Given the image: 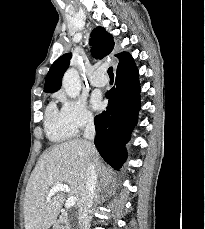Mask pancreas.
Instances as JSON below:
<instances>
[{
    "label": "pancreas",
    "instance_id": "obj_1",
    "mask_svg": "<svg viewBox=\"0 0 205 229\" xmlns=\"http://www.w3.org/2000/svg\"><path fill=\"white\" fill-rule=\"evenodd\" d=\"M54 229H70L67 217L62 215L54 225Z\"/></svg>",
    "mask_w": 205,
    "mask_h": 229
}]
</instances>
